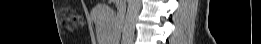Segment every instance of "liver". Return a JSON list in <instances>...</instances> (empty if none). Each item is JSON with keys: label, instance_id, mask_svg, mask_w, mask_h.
<instances>
[{"label": "liver", "instance_id": "1", "mask_svg": "<svg viewBox=\"0 0 261 44\" xmlns=\"http://www.w3.org/2000/svg\"><path fill=\"white\" fill-rule=\"evenodd\" d=\"M98 11V12H97ZM111 8L98 6L92 11V17L96 24H117V19H114V14H98L111 13ZM94 30L97 31V38L101 44H115L118 35V25H94Z\"/></svg>", "mask_w": 261, "mask_h": 44}]
</instances>
